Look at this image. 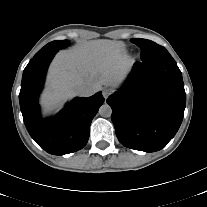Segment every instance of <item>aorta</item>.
<instances>
[{"instance_id":"762f6f07","label":"aorta","mask_w":207,"mask_h":207,"mask_svg":"<svg viewBox=\"0 0 207 207\" xmlns=\"http://www.w3.org/2000/svg\"><path fill=\"white\" fill-rule=\"evenodd\" d=\"M98 112H99L100 116H102V117H110L112 114V109L108 104H103L99 108Z\"/></svg>"}]
</instances>
